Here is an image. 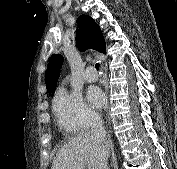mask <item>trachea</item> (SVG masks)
I'll list each match as a JSON object with an SVG mask.
<instances>
[{
  "label": "trachea",
  "mask_w": 177,
  "mask_h": 169,
  "mask_svg": "<svg viewBox=\"0 0 177 169\" xmlns=\"http://www.w3.org/2000/svg\"><path fill=\"white\" fill-rule=\"evenodd\" d=\"M95 68H96L97 70H99V69H100V64H99V63H96Z\"/></svg>",
  "instance_id": "3493384b"
}]
</instances>
